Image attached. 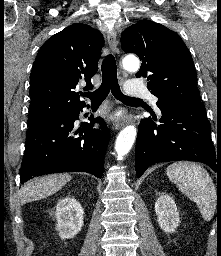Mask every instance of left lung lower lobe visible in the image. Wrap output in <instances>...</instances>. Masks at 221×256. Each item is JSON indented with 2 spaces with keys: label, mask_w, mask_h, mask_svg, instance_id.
Masks as SVG:
<instances>
[{
  "label": "left lung lower lobe",
  "mask_w": 221,
  "mask_h": 256,
  "mask_svg": "<svg viewBox=\"0 0 221 256\" xmlns=\"http://www.w3.org/2000/svg\"><path fill=\"white\" fill-rule=\"evenodd\" d=\"M157 127L149 117L140 122L135 150L137 177L158 162L190 160L209 165L221 174V160L210 135V123L204 106L167 104ZM156 120V118H153Z\"/></svg>",
  "instance_id": "left-lung-lower-lobe-1"
}]
</instances>
